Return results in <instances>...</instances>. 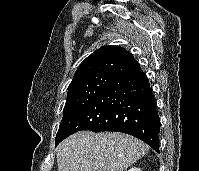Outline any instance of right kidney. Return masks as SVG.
Returning <instances> with one entry per match:
<instances>
[{
	"instance_id": "ca27d5eb",
	"label": "right kidney",
	"mask_w": 199,
	"mask_h": 171,
	"mask_svg": "<svg viewBox=\"0 0 199 171\" xmlns=\"http://www.w3.org/2000/svg\"><path fill=\"white\" fill-rule=\"evenodd\" d=\"M128 171H142V170L140 168H137V167H132Z\"/></svg>"
}]
</instances>
